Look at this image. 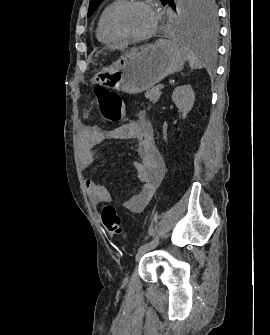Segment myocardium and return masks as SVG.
<instances>
[{
    "mask_svg": "<svg viewBox=\"0 0 270 335\" xmlns=\"http://www.w3.org/2000/svg\"><path fill=\"white\" fill-rule=\"evenodd\" d=\"M131 6H138V7H142L147 9L155 18V24L152 27L151 30H149L148 32L144 33V34H132L130 32H128L127 30H125L121 24V18L123 13ZM157 21H158V16L155 14V12L153 10H151L148 6H146L143 2L140 1H129V2H124L123 4H121L119 7H117L113 13L111 14L110 17V27L113 30V32L115 34H117L118 36L122 37V38H126V39H144L149 37L153 31L155 30L156 26H157ZM139 78H150V77H139Z\"/></svg>",
    "mask_w": 270,
    "mask_h": 335,
    "instance_id": "f54148a6",
    "label": "myocardium"
}]
</instances>
